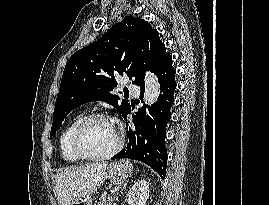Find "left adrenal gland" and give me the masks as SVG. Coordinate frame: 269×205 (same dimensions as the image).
Returning <instances> with one entry per match:
<instances>
[{"label": "left adrenal gland", "mask_w": 269, "mask_h": 205, "mask_svg": "<svg viewBox=\"0 0 269 205\" xmlns=\"http://www.w3.org/2000/svg\"><path fill=\"white\" fill-rule=\"evenodd\" d=\"M126 185H127V183H125V184L123 185V187H122V189H121V192L125 189Z\"/></svg>", "instance_id": "1"}]
</instances>
